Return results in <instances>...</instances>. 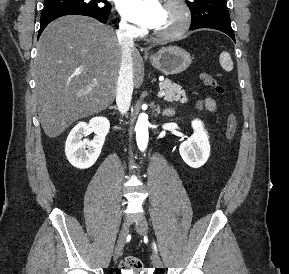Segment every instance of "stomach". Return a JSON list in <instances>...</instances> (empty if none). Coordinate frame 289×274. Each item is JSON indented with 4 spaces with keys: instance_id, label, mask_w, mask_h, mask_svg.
Returning a JSON list of instances; mask_svg holds the SVG:
<instances>
[{
    "instance_id": "stomach-1",
    "label": "stomach",
    "mask_w": 289,
    "mask_h": 274,
    "mask_svg": "<svg viewBox=\"0 0 289 274\" xmlns=\"http://www.w3.org/2000/svg\"><path fill=\"white\" fill-rule=\"evenodd\" d=\"M152 65L165 75H175L186 70L191 62L190 54L178 46L163 47L151 56Z\"/></svg>"
}]
</instances>
